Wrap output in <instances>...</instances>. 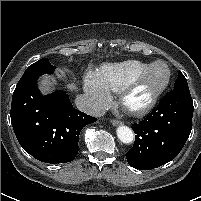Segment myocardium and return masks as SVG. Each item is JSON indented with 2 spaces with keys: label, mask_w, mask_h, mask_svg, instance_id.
I'll return each instance as SVG.
<instances>
[{
  "label": "myocardium",
  "mask_w": 201,
  "mask_h": 201,
  "mask_svg": "<svg viewBox=\"0 0 201 201\" xmlns=\"http://www.w3.org/2000/svg\"><path fill=\"white\" fill-rule=\"evenodd\" d=\"M158 64L164 65L167 69V77L165 82L160 87L152 91L144 101L139 103H133L131 101V96L133 92L145 79V77L149 74V72ZM171 76H172L171 69L166 62L158 60L151 63L144 71H142L139 75L134 77L121 90L120 102L122 107L125 109V111L134 116H142L149 113L155 107L161 95L168 88L171 81Z\"/></svg>",
  "instance_id": "myocardium-1"
}]
</instances>
